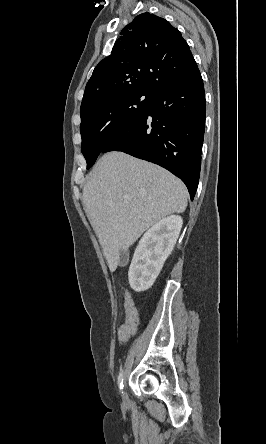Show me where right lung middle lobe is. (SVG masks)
I'll use <instances>...</instances> for the list:
<instances>
[{"mask_svg":"<svg viewBox=\"0 0 266 444\" xmlns=\"http://www.w3.org/2000/svg\"><path fill=\"white\" fill-rule=\"evenodd\" d=\"M154 93L125 90L104 96L80 111L82 153L91 168L106 145L150 109Z\"/></svg>","mask_w":266,"mask_h":444,"instance_id":"1","label":"right lung middle lobe"}]
</instances>
